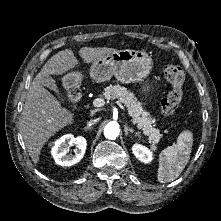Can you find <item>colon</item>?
<instances>
[{
  "instance_id": "colon-1",
  "label": "colon",
  "mask_w": 221,
  "mask_h": 221,
  "mask_svg": "<svg viewBox=\"0 0 221 221\" xmlns=\"http://www.w3.org/2000/svg\"><path fill=\"white\" fill-rule=\"evenodd\" d=\"M164 76L172 89L161 101V112L164 117L173 115L183 99L185 75L181 67L168 65L164 68Z\"/></svg>"
}]
</instances>
